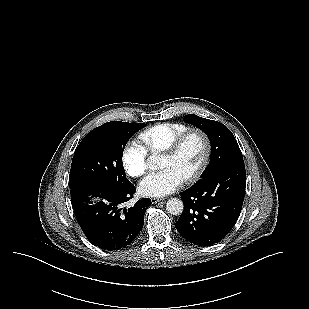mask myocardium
Listing matches in <instances>:
<instances>
[{
  "instance_id": "obj_1",
  "label": "myocardium",
  "mask_w": 309,
  "mask_h": 309,
  "mask_svg": "<svg viewBox=\"0 0 309 309\" xmlns=\"http://www.w3.org/2000/svg\"><path fill=\"white\" fill-rule=\"evenodd\" d=\"M193 134L199 135L204 143V156L199 165V167L189 176H187L183 182L186 184L193 183L198 180L205 169L207 168L212 152L211 141L208 134L200 128H189L182 134H180L170 145L167 149L163 151V154L166 156L173 157L177 155L180 151L181 147L185 143V141Z\"/></svg>"
}]
</instances>
